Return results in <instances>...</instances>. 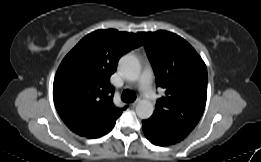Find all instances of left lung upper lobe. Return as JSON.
<instances>
[{
    "instance_id": "left-lung-upper-lobe-1",
    "label": "left lung upper lobe",
    "mask_w": 261,
    "mask_h": 162,
    "mask_svg": "<svg viewBox=\"0 0 261 162\" xmlns=\"http://www.w3.org/2000/svg\"><path fill=\"white\" fill-rule=\"evenodd\" d=\"M156 84L166 90L152 118L190 133L199 122L207 98V68L194 48L168 32H140Z\"/></svg>"
}]
</instances>
